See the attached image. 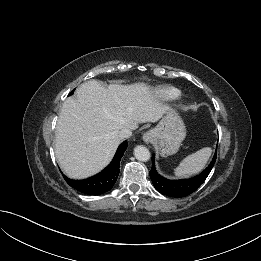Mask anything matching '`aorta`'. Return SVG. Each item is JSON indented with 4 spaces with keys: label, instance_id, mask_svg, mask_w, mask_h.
<instances>
[{
    "label": "aorta",
    "instance_id": "aorta-1",
    "mask_svg": "<svg viewBox=\"0 0 261 261\" xmlns=\"http://www.w3.org/2000/svg\"><path fill=\"white\" fill-rule=\"evenodd\" d=\"M134 156L137 160L146 162L150 159V152L145 146H137L134 149Z\"/></svg>",
    "mask_w": 261,
    "mask_h": 261
}]
</instances>
